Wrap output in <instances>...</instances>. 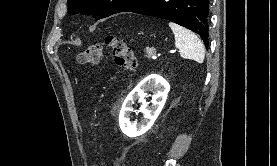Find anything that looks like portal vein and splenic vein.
Listing matches in <instances>:
<instances>
[{
    "instance_id": "1",
    "label": "portal vein and splenic vein",
    "mask_w": 277,
    "mask_h": 166,
    "mask_svg": "<svg viewBox=\"0 0 277 166\" xmlns=\"http://www.w3.org/2000/svg\"><path fill=\"white\" fill-rule=\"evenodd\" d=\"M150 57H151L152 59H156V58H157V56L155 55V53L150 54Z\"/></svg>"
}]
</instances>
